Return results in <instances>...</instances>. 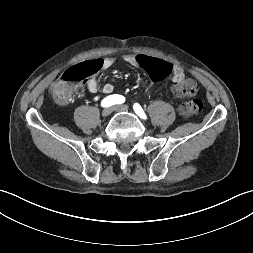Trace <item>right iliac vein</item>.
Returning <instances> with one entry per match:
<instances>
[{
  "instance_id": "right-iliac-vein-1",
  "label": "right iliac vein",
  "mask_w": 253,
  "mask_h": 253,
  "mask_svg": "<svg viewBox=\"0 0 253 253\" xmlns=\"http://www.w3.org/2000/svg\"><path fill=\"white\" fill-rule=\"evenodd\" d=\"M112 112V109L111 108H105L103 111H102V116L103 117H108Z\"/></svg>"
}]
</instances>
